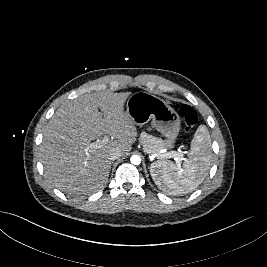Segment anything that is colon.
<instances>
[{
	"mask_svg": "<svg viewBox=\"0 0 267 267\" xmlns=\"http://www.w3.org/2000/svg\"><path fill=\"white\" fill-rule=\"evenodd\" d=\"M176 109L184 121L186 131L192 130L198 121L196 111L190 106L184 104L177 105Z\"/></svg>",
	"mask_w": 267,
	"mask_h": 267,
	"instance_id": "5ec220e1",
	"label": "colon"
}]
</instances>
